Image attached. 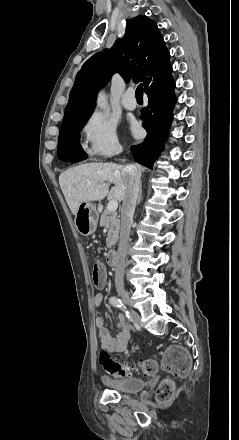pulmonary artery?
I'll return each mask as SVG.
<instances>
[{
	"label": "pulmonary artery",
	"instance_id": "pulmonary-artery-1",
	"mask_svg": "<svg viewBox=\"0 0 239 440\" xmlns=\"http://www.w3.org/2000/svg\"><path fill=\"white\" fill-rule=\"evenodd\" d=\"M134 95H135V91H134V89H133V88H129V89L125 92V94L122 96V98H121V105H122L125 109H127V110H134V109L137 107L136 103L129 102V101L127 100L128 97H130V96H134Z\"/></svg>",
	"mask_w": 239,
	"mask_h": 440
}]
</instances>
